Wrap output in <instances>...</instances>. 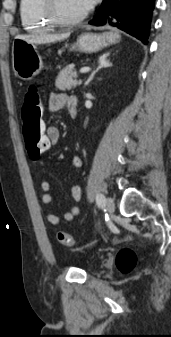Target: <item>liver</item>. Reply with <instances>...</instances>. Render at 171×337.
<instances>
[{
  "label": "liver",
  "instance_id": "1",
  "mask_svg": "<svg viewBox=\"0 0 171 337\" xmlns=\"http://www.w3.org/2000/svg\"><path fill=\"white\" fill-rule=\"evenodd\" d=\"M69 33L66 34H40V35H17L16 39H22L30 43L44 44L52 43L63 40L69 37Z\"/></svg>",
  "mask_w": 171,
  "mask_h": 337
}]
</instances>
